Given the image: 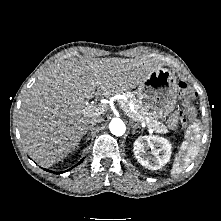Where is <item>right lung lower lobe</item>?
I'll return each instance as SVG.
<instances>
[{"mask_svg": "<svg viewBox=\"0 0 221 221\" xmlns=\"http://www.w3.org/2000/svg\"><path fill=\"white\" fill-rule=\"evenodd\" d=\"M81 162H82V160H81L79 163H81ZM79 163H78V164H79ZM78 164H77V165H78ZM44 170L49 171V170H47V169H44ZM69 170H70V169H69ZM49 172H52V171H49ZM53 173H55V172H53ZM60 173H62V172H57V174H60Z\"/></svg>", "mask_w": 221, "mask_h": 221, "instance_id": "1", "label": "right lung lower lobe"}]
</instances>
